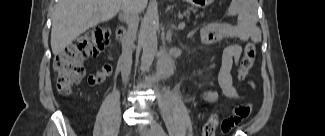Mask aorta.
Returning <instances> with one entry per match:
<instances>
[{
    "mask_svg": "<svg viewBox=\"0 0 325 136\" xmlns=\"http://www.w3.org/2000/svg\"><path fill=\"white\" fill-rule=\"evenodd\" d=\"M157 14L152 8L147 9L142 25H141V40H142V57H141V69L148 70L152 65L154 58L157 54Z\"/></svg>",
    "mask_w": 325,
    "mask_h": 136,
    "instance_id": "aorta-1",
    "label": "aorta"
}]
</instances>
